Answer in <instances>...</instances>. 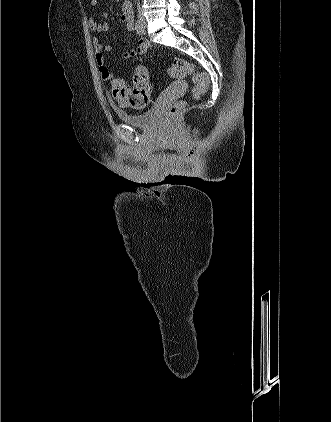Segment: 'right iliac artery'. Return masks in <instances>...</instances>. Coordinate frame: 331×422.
Masks as SVG:
<instances>
[{"label": "right iliac artery", "mask_w": 331, "mask_h": 422, "mask_svg": "<svg viewBox=\"0 0 331 422\" xmlns=\"http://www.w3.org/2000/svg\"><path fill=\"white\" fill-rule=\"evenodd\" d=\"M135 30H136L137 34H139V35H143L145 33L144 28H143V26H142V24L139 20L136 21Z\"/></svg>", "instance_id": "1"}]
</instances>
